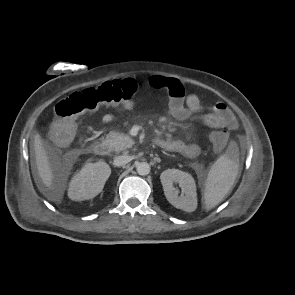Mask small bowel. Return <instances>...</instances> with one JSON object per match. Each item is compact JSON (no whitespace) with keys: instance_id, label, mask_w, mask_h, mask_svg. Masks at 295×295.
Instances as JSON below:
<instances>
[{"instance_id":"c3829d8e","label":"small bowel","mask_w":295,"mask_h":295,"mask_svg":"<svg viewBox=\"0 0 295 295\" xmlns=\"http://www.w3.org/2000/svg\"><path fill=\"white\" fill-rule=\"evenodd\" d=\"M147 84L154 89H165L169 94L168 115L176 120L184 121L188 119L193 113L199 112L203 108L200 98L195 94H186L182 83L169 77L160 75H153L148 78ZM135 101L118 106L117 112H127L134 108ZM114 114H106L103 116L104 123H110L114 119ZM204 123L211 128H229L237 127V120L232 111L224 103H216L211 107V111L203 116ZM158 144L161 148L178 152L183 155L194 157L200 153V146L196 143L173 140V139H159Z\"/></svg>"}]
</instances>
